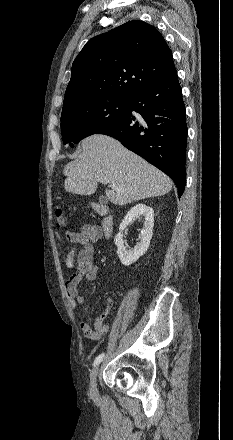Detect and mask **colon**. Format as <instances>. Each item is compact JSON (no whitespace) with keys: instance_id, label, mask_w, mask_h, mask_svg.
<instances>
[{"instance_id":"obj_1","label":"colon","mask_w":233,"mask_h":440,"mask_svg":"<svg viewBox=\"0 0 233 440\" xmlns=\"http://www.w3.org/2000/svg\"><path fill=\"white\" fill-rule=\"evenodd\" d=\"M55 225L59 228L65 227L67 224L65 212L62 207H56L55 211Z\"/></svg>"}]
</instances>
